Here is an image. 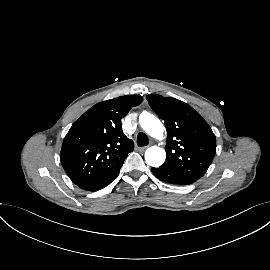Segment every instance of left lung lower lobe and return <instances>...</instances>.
<instances>
[{"mask_svg":"<svg viewBox=\"0 0 270 270\" xmlns=\"http://www.w3.org/2000/svg\"><path fill=\"white\" fill-rule=\"evenodd\" d=\"M152 173L161 181L177 184V185H189L196 181V179L184 174L180 171L167 169V168H152Z\"/></svg>","mask_w":270,"mask_h":270,"instance_id":"left-lung-lower-lobe-1","label":"left lung lower lobe"}]
</instances>
